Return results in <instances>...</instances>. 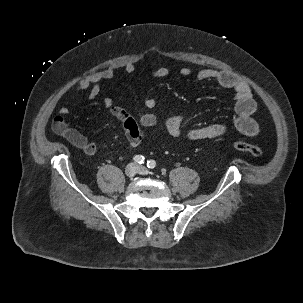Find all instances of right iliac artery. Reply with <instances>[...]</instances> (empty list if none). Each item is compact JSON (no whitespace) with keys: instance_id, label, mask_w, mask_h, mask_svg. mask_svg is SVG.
<instances>
[{"instance_id":"82829eb1","label":"right iliac artery","mask_w":303,"mask_h":303,"mask_svg":"<svg viewBox=\"0 0 303 303\" xmlns=\"http://www.w3.org/2000/svg\"><path fill=\"white\" fill-rule=\"evenodd\" d=\"M144 157L142 155H136L133 157L135 163L142 164L144 163Z\"/></svg>"}]
</instances>
